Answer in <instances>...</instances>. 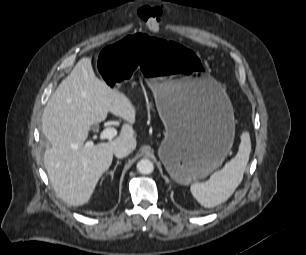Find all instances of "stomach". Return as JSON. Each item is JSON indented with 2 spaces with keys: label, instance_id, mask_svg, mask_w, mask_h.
<instances>
[{
  "label": "stomach",
  "instance_id": "stomach-1",
  "mask_svg": "<svg viewBox=\"0 0 306 255\" xmlns=\"http://www.w3.org/2000/svg\"><path fill=\"white\" fill-rule=\"evenodd\" d=\"M104 82L119 89L127 75L146 76L166 133L158 155L180 185L207 177L229 153L234 112L221 85L187 47L133 31L97 57Z\"/></svg>",
  "mask_w": 306,
  "mask_h": 255
}]
</instances>
